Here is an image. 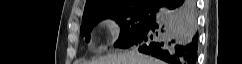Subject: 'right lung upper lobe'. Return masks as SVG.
<instances>
[{
    "label": "right lung upper lobe",
    "mask_w": 242,
    "mask_h": 64,
    "mask_svg": "<svg viewBox=\"0 0 242 64\" xmlns=\"http://www.w3.org/2000/svg\"><path fill=\"white\" fill-rule=\"evenodd\" d=\"M161 0H87L83 18L99 13L127 10L147 6L157 8Z\"/></svg>",
    "instance_id": "obj_1"
}]
</instances>
